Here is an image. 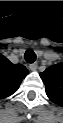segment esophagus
Segmentation results:
<instances>
[{
	"instance_id": "34e87169",
	"label": "esophagus",
	"mask_w": 63,
	"mask_h": 123,
	"mask_svg": "<svg viewBox=\"0 0 63 123\" xmlns=\"http://www.w3.org/2000/svg\"><path fill=\"white\" fill-rule=\"evenodd\" d=\"M37 67H38V64L37 63H32L29 66L30 70H32V71H35L37 69Z\"/></svg>"
}]
</instances>
